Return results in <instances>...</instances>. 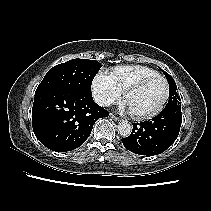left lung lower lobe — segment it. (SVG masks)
<instances>
[{"label": "left lung lower lobe", "mask_w": 211, "mask_h": 211, "mask_svg": "<svg viewBox=\"0 0 211 211\" xmlns=\"http://www.w3.org/2000/svg\"><path fill=\"white\" fill-rule=\"evenodd\" d=\"M181 122V106L165 107L152 120L133 123L132 133L122 138V143L126 149L139 155L160 154L178 137Z\"/></svg>", "instance_id": "0a47b994"}]
</instances>
